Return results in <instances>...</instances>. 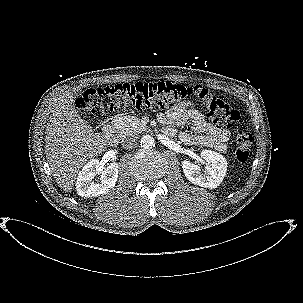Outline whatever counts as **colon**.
<instances>
[{
    "label": "colon",
    "mask_w": 303,
    "mask_h": 303,
    "mask_svg": "<svg viewBox=\"0 0 303 303\" xmlns=\"http://www.w3.org/2000/svg\"><path fill=\"white\" fill-rule=\"evenodd\" d=\"M189 97L198 98L216 123L231 125L242 118V112L214 97L201 86L187 87L169 81L119 83L90 88L77 98L76 104L87 117L95 120L114 112L128 110H163ZM252 135L243 129L234 134V154L239 163L247 161Z\"/></svg>",
    "instance_id": "obj_1"
}]
</instances>
